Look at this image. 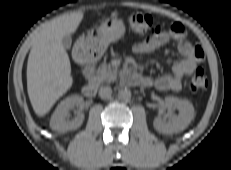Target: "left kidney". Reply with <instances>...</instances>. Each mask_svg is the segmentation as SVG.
Listing matches in <instances>:
<instances>
[{"instance_id": "1", "label": "left kidney", "mask_w": 231, "mask_h": 170, "mask_svg": "<svg viewBox=\"0 0 231 170\" xmlns=\"http://www.w3.org/2000/svg\"><path fill=\"white\" fill-rule=\"evenodd\" d=\"M165 103L167 106L178 109L179 114L172 117L169 122H165L157 117L153 123L154 128L163 134H173L183 131L194 118L195 111L192 103L172 96L166 97Z\"/></svg>"}]
</instances>
